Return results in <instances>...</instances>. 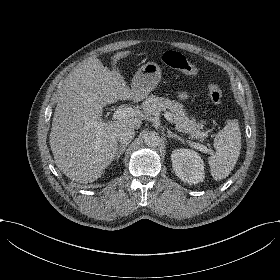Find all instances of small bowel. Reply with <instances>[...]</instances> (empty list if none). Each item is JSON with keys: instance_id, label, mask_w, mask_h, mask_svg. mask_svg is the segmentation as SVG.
<instances>
[{"instance_id": "small-bowel-1", "label": "small bowel", "mask_w": 280, "mask_h": 280, "mask_svg": "<svg viewBox=\"0 0 280 280\" xmlns=\"http://www.w3.org/2000/svg\"><path fill=\"white\" fill-rule=\"evenodd\" d=\"M179 98L185 99V98H187V95L185 93H181V94H179Z\"/></svg>"}]
</instances>
